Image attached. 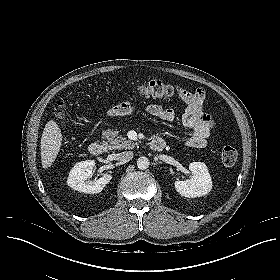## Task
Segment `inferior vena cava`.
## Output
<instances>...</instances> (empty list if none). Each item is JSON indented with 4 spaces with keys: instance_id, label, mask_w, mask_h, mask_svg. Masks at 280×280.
<instances>
[{
    "instance_id": "602c4592",
    "label": "inferior vena cava",
    "mask_w": 280,
    "mask_h": 280,
    "mask_svg": "<svg viewBox=\"0 0 280 280\" xmlns=\"http://www.w3.org/2000/svg\"><path fill=\"white\" fill-rule=\"evenodd\" d=\"M132 158H133L132 151H125L118 154V160L123 163L130 161Z\"/></svg>"
}]
</instances>
